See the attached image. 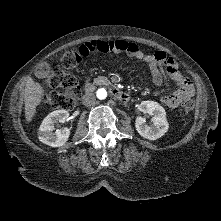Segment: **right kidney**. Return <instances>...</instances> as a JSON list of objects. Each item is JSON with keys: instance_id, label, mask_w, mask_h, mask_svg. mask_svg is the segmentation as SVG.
Instances as JSON below:
<instances>
[{"instance_id": "1", "label": "right kidney", "mask_w": 221, "mask_h": 221, "mask_svg": "<svg viewBox=\"0 0 221 221\" xmlns=\"http://www.w3.org/2000/svg\"><path fill=\"white\" fill-rule=\"evenodd\" d=\"M68 117L69 112L66 110H56L50 113L39 127V140L51 147H60L64 145L70 136V130L68 128H62L57 129L55 132L53 131L56 122L64 123Z\"/></svg>"}]
</instances>
